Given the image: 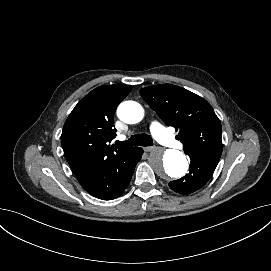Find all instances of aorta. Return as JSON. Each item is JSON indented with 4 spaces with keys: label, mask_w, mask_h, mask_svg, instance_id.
Returning <instances> with one entry per match:
<instances>
[{
    "label": "aorta",
    "mask_w": 271,
    "mask_h": 271,
    "mask_svg": "<svg viewBox=\"0 0 271 271\" xmlns=\"http://www.w3.org/2000/svg\"><path fill=\"white\" fill-rule=\"evenodd\" d=\"M119 119L127 124L140 122L144 116L142 106L135 101H125L117 109ZM152 169L163 178H180L188 171V161L183 152L175 149L154 150L149 155Z\"/></svg>",
    "instance_id": "762f6f07"
}]
</instances>
